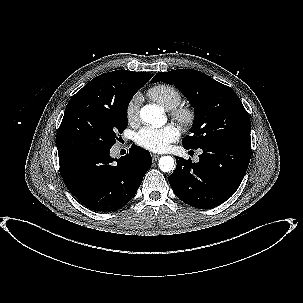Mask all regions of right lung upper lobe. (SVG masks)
Instances as JSON below:
<instances>
[{"label": "right lung upper lobe", "mask_w": 303, "mask_h": 303, "mask_svg": "<svg viewBox=\"0 0 303 303\" xmlns=\"http://www.w3.org/2000/svg\"><path fill=\"white\" fill-rule=\"evenodd\" d=\"M152 76L149 72L126 70L104 73L87 83L73 97H87L105 104H118L123 101L129 89L144 85Z\"/></svg>", "instance_id": "obj_1"}]
</instances>
